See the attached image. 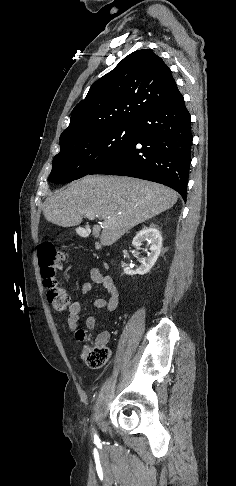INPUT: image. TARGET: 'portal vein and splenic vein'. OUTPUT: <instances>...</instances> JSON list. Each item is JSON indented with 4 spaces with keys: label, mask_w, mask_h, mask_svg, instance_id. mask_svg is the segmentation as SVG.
Wrapping results in <instances>:
<instances>
[{
    "label": "portal vein and splenic vein",
    "mask_w": 236,
    "mask_h": 486,
    "mask_svg": "<svg viewBox=\"0 0 236 486\" xmlns=\"http://www.w3.org/2000/svg\"><path fill=\"white\" fill-rule=\"evenodd\" d=\"M86 217H87L88 219H90V220H93V219H95L96 217H98V215H95V214H94V213H92V212H87V213H86Z\"/></svg>",
    "instance_id": "portal-vein-and-splenic-vein-1"
}]
</instances>
